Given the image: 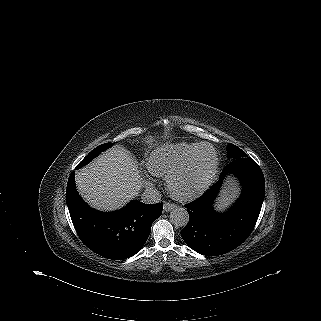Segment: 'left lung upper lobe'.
<instances>
[{"instance_id": "5c2ea615", "label": "left lung upper lobe", "mask_w": 321, "mask_h": 321, "mask_svg": "<svg viewBox=\"0 0 321 321\" xmlns=\"http://www.w3.org/2000/svg\"><path fill=\"white\" fill-rule=\"evenodd\" d=\"M227 156L231 161L236 160L238 158L248 157L243 150L231 143L227 145Z\"/></svg>"}]
</instances>
